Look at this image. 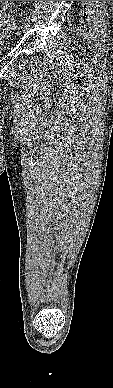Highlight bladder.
<instances>
[{
    "label": "bladder",
    "instance_id": "bladder-1",
    "mask_svg": "<svg viewBox=\"0 0 113 388\" xmlns=\"http://www.w3.org/2000/svg\"><path fill=\"white\" fill-rule=\"evenodd\" d=\"M13 28L14 25L12 22L0 21V57L4 56L9 51V46L4 39L10 34Z\"/></svg>",
    "mask_w": 113,
    "mask_h": 388
}]
</instances>
